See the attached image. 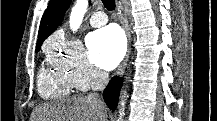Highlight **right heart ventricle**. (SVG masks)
Returning <instances> with one entry per match:
<instances>
[{
  "mask_svg": "<svg viewBox=\"0 0 217 121\" xmlns=\"http://www.w3.org/2000/svg\"><path fill=\"white\" fill-rule=\"evenodd\" d=\"M72 83L58 70L42 68L38 76V91L44 99H59L68 96Z\"/></svg>",
  "mask_w": 217,
  "mask_h": 121,
  "instance_id": "right-heart-ventricle-1",
  "label": "right heart ventricle"
}]
</instances>
